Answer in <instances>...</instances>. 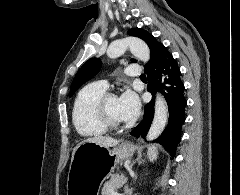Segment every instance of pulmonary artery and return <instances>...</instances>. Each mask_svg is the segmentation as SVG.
Here are the masks:
<instances>
[{
  "instance_id": "obj_1",
  "label": "pulmonary artery",
  "mask_w": 240,
  "mask_h": 195,
  "mask_svg": "<svg viewBox=\"0 0 240 195\" xmlns=\"http://www.w3.org/2000/svg\"><path fill=\"white\" fill-rule=\"evenodd\" d=\"M128 71L124 72L125 76H132V78H139V74H140V67L138 65H129L127 67ZM104 85L107 86L108 83L104 82Z\"/></svg>"
}]
</instances>
